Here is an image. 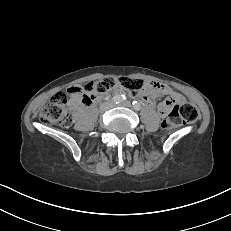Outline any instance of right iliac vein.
Instances as JSON below:
<instances>
[{"label":"right iliac vein","instance_id":"right-iliac-vein-1","mask_svg":"<svg viewBox=\"0 0 231 231\" xmlns=\"http://www.w3.org/2000/svg\"><path fill=\"white\" fill-rule=\"evenodd\" d=\"M112 107V104L108 105V108H111Z\"/></svg>","mask_w":231,"mask_h":231}]
</instances>
